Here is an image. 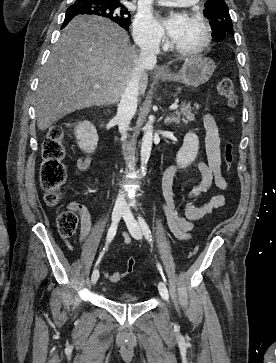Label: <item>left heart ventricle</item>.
<instances>
[{
	"instance_id": "b2bd125f",
	"label": "left heart ventricle",
	"mask_w": 276,
	"mask_h": 363,
	"mask_svg": "<svg viewBox=\"0 0 276 363\" xmlns=\"http://www.w3.org/2000/svg\"><path fill=\"white\" fill-rule=\"evenodd\" d=\"M183 22L180 30L173 41L176 45L183 48H195L199 46L204 39V30L202 25L188 16H183Z\"/></svg>"
}]
</instances>
